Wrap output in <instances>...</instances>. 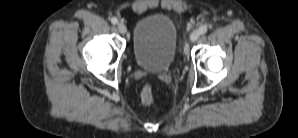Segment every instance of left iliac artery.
<instances>
[{
    "label": "left iliac artery",
    "mask_w": 298,
    "mask_h": 138,
    "mask_svg": "<svg viewBox=\"0 0 298 138\" xmlns=\"http://www.w3.org/2000/svg\"><path fill=\"white\" fill-rule=\"evenodd\" d=\"M199 31H200V34H205L208 31V28L206 25H204L199 28Z\"/></svg>",
    "instance_id": "obj_1"
}]
</instances>
